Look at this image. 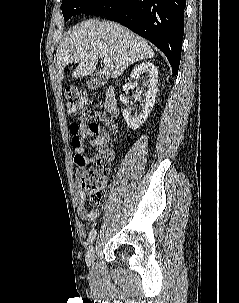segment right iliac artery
Here are the masks:
<instances>
[{
    "label": "right iliac artery",
    "mask_w": 239,
    "mask_h": 303,
    "mask_svg": "<svg viewBox=\"0 0 239 303\" xmlns=\"http://www.w3.org/2000/svg\"><path fill=\"white\" fill-rule=\"evenodd\" d=\"M96 229H92L89 233V237H88V243L91 244L93 242V240L95 239L96 236Z\"/></svg>",
    "instance_id": "1"
}]
</instances>
